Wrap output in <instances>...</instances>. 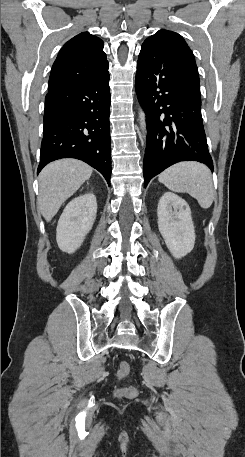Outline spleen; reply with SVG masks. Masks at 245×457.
<instances>
[{
    "mask_svg": "<svg viewBox=\"0 0 245 457\" xmlns=\"http://www.w3.org/2000/svg\"><path fill=\"white\" fill-rule=\"evenodd\" d=\"M158 180L174 192H188L202 208H209L214 200L211 170L202 162H177L161 172Z\"/></svg>",
    "mask_w": 245,
    "mask_h": 457,
    "instance_id": "1",
    "label": "spleen"
}]
</instances>
